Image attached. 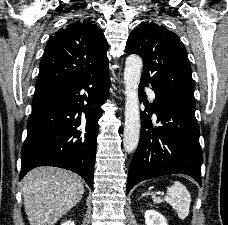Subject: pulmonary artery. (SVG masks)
I'll return each instance as SVG.
<instances>
[{"label": "pulmonary artery", "instance_id": "e3ab8cb5", "mask_svg": "<svg viewBox=\"0 0 228 225\" xmlns=\"http://www.w3.org/2000/svg\"><path fill=\"white\" fill-rule=\"evenodd\" d=\"M145 88H147V87H145ZM147 94H148L150 102H154V100L156 98L155 92L152 89H148Z\"/></svg>", "mask_w": 228, "mask_h": 225}]
</instances>
